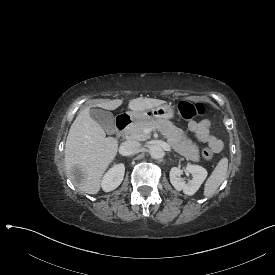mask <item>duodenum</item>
Listing matches in <instances>:
<instances>
[{
	"mask_svg": "<svg viewBox=\"0 0 275 275\" xmlns=\"http://www.w3.org/2000/svg\"><path fill=\"white\" fill-rule=\"evenodd\" d=\"M132 122V117L128 114H122L116 119V130L117 135H122L125 130L130 126Z\"/></svg>",
	"mask_w": 275,
	"mask_h": 275,
	"instance_id": "1",
	"label": "duodenum"
}]
</instances>
